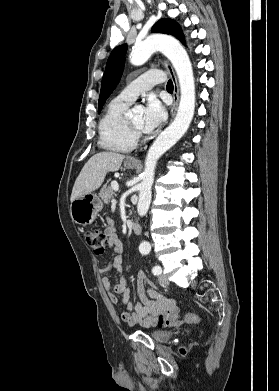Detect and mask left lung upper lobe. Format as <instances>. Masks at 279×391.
I'll return each instance as SVG.
<instances>
[{
	"label": "left lung upper lobe",
	"instance_id": "obj_1",
	"mask_svg": "<svg viewBox=\"0 0 279 391\" xmlns=\"http://www.w3.org/2000/svg\"><path fill=\"white\" fill-rule=\"evenodd\" d=\"M152 32H160L170 34L179 39L185 44L184 35L178 23L171 19H161L152 27ZM127 52V45H120L116 47L108 58L105 73L102 78L101 92L98 102L99 112L102 109L106 99L110 96L112 91L116 88L124 69L125 54Z\"/></svg>",
	"mask_w": 279,
	"mask_h": 391
}]
</instances>
